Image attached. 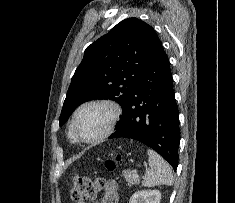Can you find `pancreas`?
<instances>
[{
  "instance_id": "1",
  "label": "pancreas",
  "mask_w": 235,
  "mask_h": 203,
  "mask_svg": "<svg viewBox=\"0 0 235 203\" xmlns=\"http://www.w3.org/2000/svg\"><path fill=\"white\" fill-rule=\"evenodd\" d=\"M123 176L125 180L127 181L128 185H133V184H139L140 179L134 175L133 171L130 170H124L123 171Z\"/></svg>"
}]
</instances>
